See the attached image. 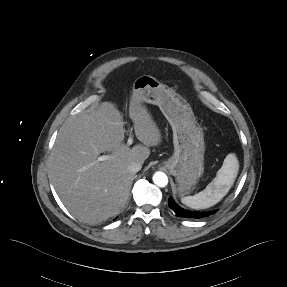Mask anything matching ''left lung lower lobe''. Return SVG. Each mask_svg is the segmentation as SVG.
Segmentation results:
<instances>
[{"mask_svg":"<svg viewBox=\"0 0 287 287\" xmlns=\"http://www.w3.org/2000/svg\"><path fill=\"white\" fill-rule=\"evenodd\" d=\"M168 204H169L170 209H172L178 217H183V218L199 219V218L208 217L209 215L215 213V211H213V212L212 211H210V212H195V211L185 210V209L181 208L179 205H177L171 197L168 199Z\"/></svg>","mask_w":287,"mask_h":287,"instance_id":"left-lung-lower-lobe-1","label":"left lung lower lobe"}]
</instances>
